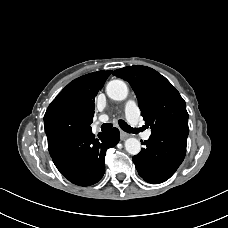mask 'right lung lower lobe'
<instances>
[{"mask_svg": "<svg viewBox=\"0 0 228 228\" xmlns=\"http://www.w3.org/2000/svg\"><path fill=\"white\" fill-rule=\"evenodd\" d=\"M119 139L117 128L99 133L98 137L88 129L48 144V148L55 166L65 178L76 185L89 186L104 175L106 150Z\"/></svg>", "mask_w": 228, "mask_h": 228, "instance_id": "right-lung-lower-lobe-1", "label": "right lung lower lobe"}]
</instances>
